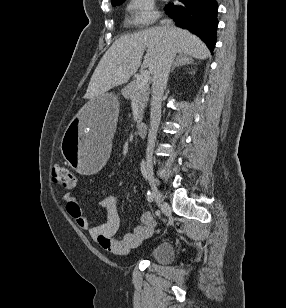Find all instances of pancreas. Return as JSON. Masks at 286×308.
<instances>
[{"label": "pancreas", "instance_id": "obj_1", "mask_svg": "<svg viewBox=\"0 0 286 308\" xmlns=\"http://www.w3.org/2000/svg\"><path fill=\"white\" fill-rule=\"evenodd\" d=\"M122 95L126 99H136L139 105V113L137 118V123L139 124L143 119L144 109L147 106L148 96L150 93L149 85L146 84L143 87L139 88L137 86V80L132 81L121 91Z\"/></svg>", "mask_w": 286, "mask_h": 308}]
</instances>
